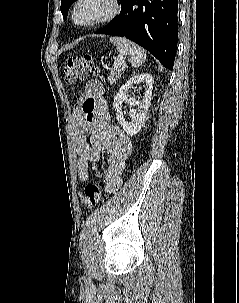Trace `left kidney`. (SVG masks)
<instances>
[{"instance_id":"left-kidney-1","label":"left kidney","mask_w":239,"mask_h":303,"mask_svg":"<svg viewBox=\"0 0 239 303\" xmlns=\"http://www.w3.org/2000/svg\"><path fill=\"white\" fill-rule=\"evenodd\" d=\"M141 83L145 84L143 99L141 101H137L134 97L129 98L128 90L134 85H139ZM153 83L154 79L151 75L147 73L139 74L132 77L122 85L114 98L113 107L116 111L117 121L130 136L138 133L145 124L147 112L152 100ZM124 101L128 102L130 106H138L137 109L132 108L129 112L131 122H127L124 118V114L122 112V103Z\"/></svg>"}]
</instances>
